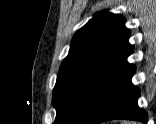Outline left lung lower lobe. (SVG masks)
<instances>
[{
    "instance_id": "0a47b994",
    "label": "left lung lower lobe",
    "mask_w": 156,
    "mask_h": 124,
    "mask_svg": "<svg viewBox=\"0 0 156 124\" xmlns=\"http://www.w3.org/2000/svg\"><path fill=\"white\" fill-rule=\"evenodd\" d=\"M134 72L135 66L125 59L105 82L78 124H97L113 119L147 123V113L137 104L140 90L131 82Z\"/></svg>"
}]
</instances>
